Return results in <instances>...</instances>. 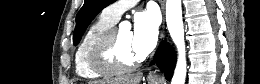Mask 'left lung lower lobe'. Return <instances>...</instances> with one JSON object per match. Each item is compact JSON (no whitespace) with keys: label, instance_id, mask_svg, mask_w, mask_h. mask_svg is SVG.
I'll list each match as a JSON object with an SVG mask.
<instances>
[{"label":"left lung lower lobe","instance_id":"left-lung-lower-lobe-1","mask_svg":"<svg viewBox=\"0 0 260 84\" xmlns=\"http://www.w3.org/2000/svg\"><path fill=\"white\" fill-rule=\"evenodd\" d=\"M154 62L164 71L166 79L170 80L173 75L176 59L173 50L167 43L163 42L159 46L154 56Z\"/></svg>","mask_w":260,"mask_h":84}]
</instances>
